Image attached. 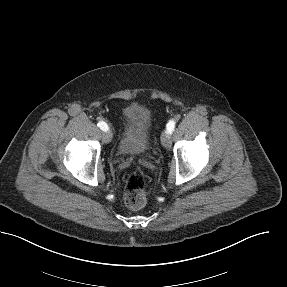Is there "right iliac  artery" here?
I'll return each instance as SVG.
<instances>
[{"instance_id":"obj_1","label":"right iliac artery","mask_w":287,"mask_h":287,"mask_svg":"<svg viewBox=\"0 0 287 287\" xmlns=\"http://www.w3.org/2000/svg\"><path fill=\"white\" fill-rule=\"evenodd\" d=\"M97 125L103 131L108 130V125L104 121H99Z\"/></svg>"}]
</instances>
